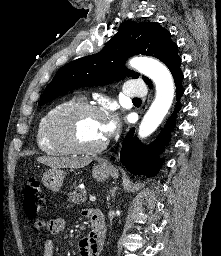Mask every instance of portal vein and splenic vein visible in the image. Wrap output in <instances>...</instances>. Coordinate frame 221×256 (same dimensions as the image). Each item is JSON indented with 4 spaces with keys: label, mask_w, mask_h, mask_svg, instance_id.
Returning a JSON list of instances; mask_svg holds the SVG:
<instances>
[{
    "label": "portal vein and splenic vein",
    "mask_w": 221,
    "mask_h": 256,
    "mask_svg": "<svg viewBox=\"0 0 221 256\" xmlns=\"http://www.w3.org/2000/svg\"><path fill=\"white\" fill-rule=\"evenodd\" d=\"M89 200H90L91 202H95V201H96V197L91 195V196L89 197Z\"/></svg>",
    "instance_id": "portal-vein-and-splenic-vein-1"
}]
</instances>
